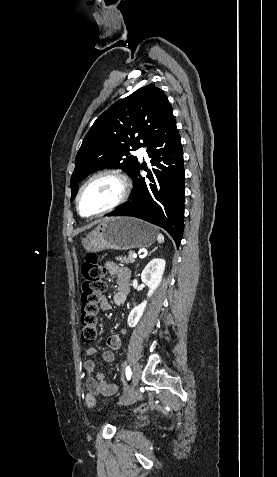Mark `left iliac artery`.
Listing matches in <instances>:
<instances>
[{
    "mask_svg": "<svg viewBox=\"0 0 277 477\" xmlns=\"http://www.w3.org/2000/svg\"><path fill=\"white\" fill-rule=\"evenodd\" d=\"M131 375H132V372H131L130 367L128 366V367L126 368V377H127L128 380H130Z\"/></svg>",
    "mask_w": 277,
    "mask_h": 477,
    "instance_id": "obj_1",
    "label": "left iliac artery"
}]
</instances>
